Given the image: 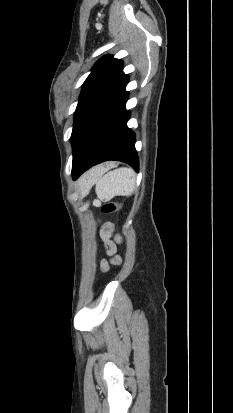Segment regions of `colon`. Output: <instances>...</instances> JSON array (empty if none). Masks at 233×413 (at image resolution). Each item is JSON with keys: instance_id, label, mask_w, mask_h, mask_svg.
<instances>
[{"instance_id": "colon-1", "label": "colon", "mask_w": 233, "mask_h": 413, "mask_svg": "<svg viewBox=\"0 0 233 413\" xmlns=\"http://www.w3.org/2000/svg\"><path fill=\"white\" fill-rule=\"evenodd\" d=\"M117 208H118V205L115 202H108L102 205L101 211L104 214H109V213L116 211Z\"/></svg>"}]
</instances>
